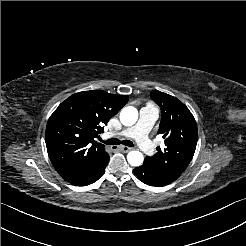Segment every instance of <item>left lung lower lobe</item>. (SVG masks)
I'll return each mask as SVG.
<instances>
[{
	"mask_svg": "<svg viewBox=\"0 0 246 246\" xmlns=\"http://www.w3.org/2000/svg\"><path fill=\"white\" fill-rule=\"evenodd\" d=\"M134 173L139 180L150 186H164L174 181L168 175L155 168L153 161L148 156L142 166L134 169Z\"/></svg>",
	"mask_w": 246,
	"mask_h": 246,
	"instance_id": "1",
	"label": "left lung lower lobe"
}]
</instances>
